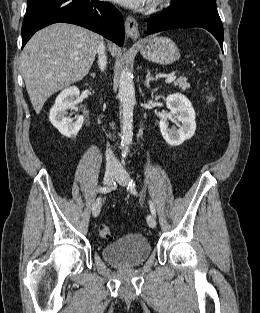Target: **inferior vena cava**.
<instances>
[{
	"label": "inferior vena cava",
	"instance_id": "602c4592",
	"mask_svg": "<svg viewBox=\"0 0 260 313\" xmlns=\"http://www.w3.org/2000/svg\"><path fill=\"white\" fill-rule=\"evenodd\" d=\"M98 65L101 68V70H104L107 64V58L105 55V46L103 43L100 44L99 49H98ZM106 166L107 167H118L119 162L113 155L112 151L107 148L106 150Z\"/></svg>",
	"mask_w": 260,
	"mask_h": 313
}]
</instances>
